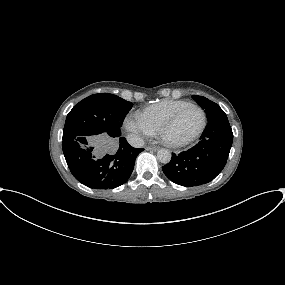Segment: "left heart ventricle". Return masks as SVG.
Listing matches in <instances>:
<instances>
[{"mask_svg": "<svg viewBox=\"0 0 285 285\" xmlns=\"http://www.w3.org/2000/svg\"><path fill=\"white\" fill-rule=\"evenodd\" d=\"M202 123V114L196 108H188L180 116L174 127L168 132L173 140H182L193 135Z\"/></svg>", "mask_w": 285, "mask_h": 285, "instance_id": "left-heart-ventricle-1", "label": "left heart ventricle"}]
</instances>
